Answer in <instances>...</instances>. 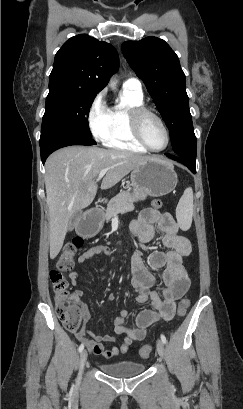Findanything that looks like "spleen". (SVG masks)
<instances>
[{
	"mask_svg": "<svg viewBox=\"0 0 243 409\" xmlns=\"http://www.w3.org/2000/svg\"><path fill=\"white\" fill-rule=\"evenodd\" d=\"M193 209V190L188 187L184 190L176 208L177 222L182 230H188L191 227Z\"/></svg>",
	"mask_w": 243,
	"mask_h": 409,
	"instance_id": "obj_1",
	"label": "spleen"
}]
</instances>
